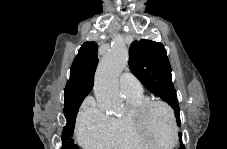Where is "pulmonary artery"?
I'll list each match as a JSON object with an SVG mask.
<instances>
[{
    "mask_svg": "<svg viewBox=\"0 0 227 149\" xmlns=\"http://www.w3.org/2000/svg\"><path fill=\"white\" fill-rule=\"evenodd\" d=\"M120 88L123 95H134L143 92L140 81L130 73H123L120 76Z\"/></svg>",
    "mask_w": 227,
    "mask_h": 149,
    "instance_id": "pulmonary-artery-1",
    "label": "pulmonary artery"
}]
</instances>
